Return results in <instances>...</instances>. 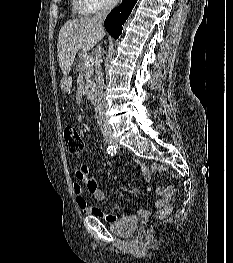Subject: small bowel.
Returning <instances> with one entry per match:
<instances>
[{
	"mask_svg": "<svg viewBox=\"0 0 233 263\" xmlns=\"http://www.w3.org/2000/svg\"><path fill=\"white\" fill-rule=\"evenodd\" d=\"M141 167L145 179L149 180L150 174L148 169L144 165H141ZM75 176L79 182H74L72 188L75 195L76 203L84 213L93 214L108 223H113L120 219L118 215L108 213L105 209L89 205L87 199L85 198L84 189L80 182L86 185L89 193L97 201H103L105 199V194L98 187V184L96 183L95 179L90 175L88 166L79 165L76 169ZM157 193L160 196V198L154 203V209L160 210L170 203L172 195L175 193V187L172 183H170L166 186L159 187L157 189ZM141 214L144 216L148 215V210H142Z\"/></svg>",
	"mask_w": 233,
	"mask_h": 263,
	"instance_id": "1",
	"label": "small bowel"
}]
</instances>
